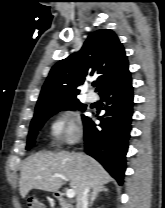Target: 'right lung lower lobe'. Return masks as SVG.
<instances>
[{"label": "right lung lower lobe", "instance_id": "98d812e1", "mask_svg": "<svg viewBox=\"0 0 165 208\" xmlns=\"http://www.w3.org/2000/svg\"><path fill=\"white\" fill-rule=\"evenodd\" d=\"M100 96L106 102V113L99 117V127L88 117L83 120L85 152L99 161L122 184L133 114L130 72L102 90Z\"/></svg>", "mask_w": 165, "mask_h": 208}]
</instances>
